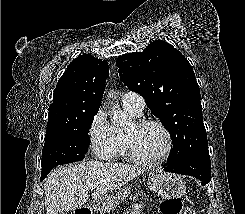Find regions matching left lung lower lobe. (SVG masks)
Instances as JSON below:
<instances>
[{"mask_svg": "<svg viewBox=\"0 0 245 214\" xmlns=\"http://www.w3.org/2000/svg\"><path fill=\"white\" fill-rule=\"evenodd\" d=\"M166 172L193 176L206 185L211 179V164L208 148L197 149L174 161H169Z\"/></svg>", "mask_w": 245, "mask_h": 214, "instance_id": "1", "label": "left lung lower lobe"}]
</instances>
